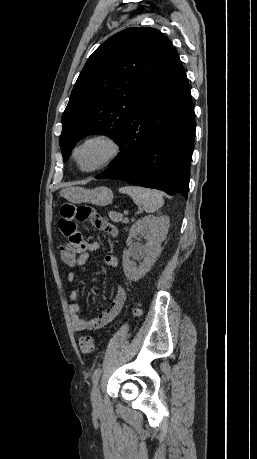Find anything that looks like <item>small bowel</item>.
<instances>
[{
	"instance_id": "small-bowel-1",
	"label": "small bowel",
	"mask_w": 257,
	"mask_h": 459,
	"mask_svg": "<svg viewBox=\"0 0 257 459\" xmlns=\"http://www.w3.org/2000/svg\"><path fill=\"white\" fill-rule=\"evenodd\" d=\"M78 222L82 225L84 224V226L97 227L114 238L118 236V230L114 225L99 217L97 208H90V205H76L74 200H67L65 205H61L57 227L62 236H66L69 242V251H74V255L77 257L74 265L81 267L88 262L90 254L97 251L100 245L98 242H86L85 235L79 231L80 225ZM104 263L112 269H116L118 266L116 257L112 255H106ZM66 278L69 283H75L77 275L74 271H70ZM78 297L77 290H72L69 294V299L71 300L69 313L73 329L76 331H96L111 323L120 315L127 299V293L119 285L116 295L109 306L98 316L89 320H85L80 315L81 306L76 302Z\"/></svg>"
}]
</instances>
